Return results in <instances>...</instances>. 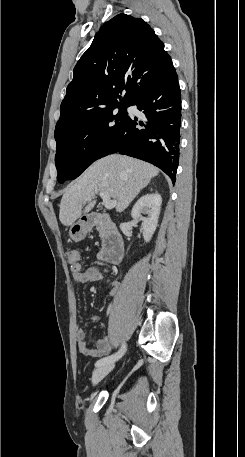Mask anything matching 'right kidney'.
Returning a JSON list of instances; mask_svg holds the SVG:
<instances>
[{"label":"right kidney","mask_w":245,"mask_h":457,"mask_svg":"<svg viewBox=\"0 0 245 457\" xmlns=\"http://www.w3.org/2000/svg\"><path fill=\"white\" fill-rule=\"evenodd\" d=\"M162 196L159 192L152 194H143L137 202H135L131 216L135 220H142L143 237L146 243H149L152 235L156 231V226L161 210ZM148 214V216H142Z\"/></svg>","instance_id":"ca27d5eb"}]
</instances>
